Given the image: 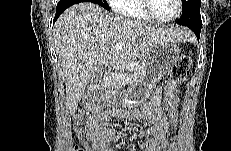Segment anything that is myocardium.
Instances as JSON below:
<instances>
[{
  "instance_id": "obj_1",
  "label": "myocardium",
  "mask_w": 231,
  "mask_h": 151,
  "mask_svg": "<svg viewBox=\"0 0 231 151\" xmlns=\"http://www.w3.org/2000/svg\"><path fill=\"white\" fill-rule=\"evenodd\" d=\"M176 6H177L176 13L172 17H170L169 19H159L152 13L151 0H142L141 1L142 11L145 14V16L150 21H152L154 23H157V24H170V23L174 22L181 14L182 1L181 0H176Z\"/></svg>"
}]
</instances>
